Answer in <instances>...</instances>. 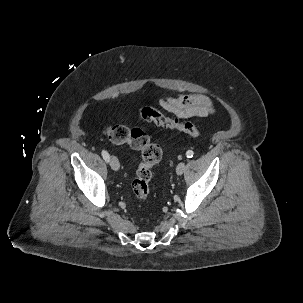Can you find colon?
Listing matches in <instances>:
<instances>
[{
  "mask_svg": "<svg viewBox=\"0 0 303 303\" xmlns=\"http://www.w3.org/2000/svg\"><path fill=\"white\" fill-rule=\"evenodd\" d=\"M139 115L144 121L157 126L177 130L194 138L200 135V131L194 123L169 118L150 106L142 107ZM103 133L110 141L117 144L128 143L141 153L142 162L132 182V190L138 199L146 200L150 193L149 183L152 178V168L162 159L161 147L151 143L149 136L139 128L129 129L123 125L111 124L104 128Z\"/></svg>",
  "mask_w": 303,
  "mask_h": 303,
  "instance_id": "5ec220e1",
  "label": "colon"
}]
</instances>
